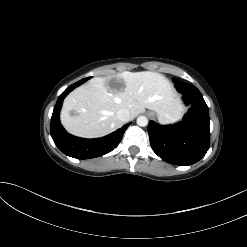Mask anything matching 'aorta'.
<instances>
[{"label": "aorta", "instance_id": "1", "mask_svg": "<svg viewBox=\"0 0 247 247\" xmlns=\"http://www.w3.org/2000/svg\"><path fill=\"white\" fill-rule=\"evenodd\" d=\"M137 124L141 127H145L148 125V119L145 116H139L137 118Z\"/></svg>", "mask_w": 247, "mask_h": 247}]
</instances>
